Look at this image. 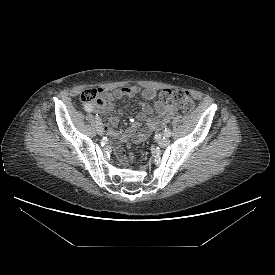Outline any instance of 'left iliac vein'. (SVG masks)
I'll use <instances>...</instances> for the list:
<instances>
[{
	"instance_id": "4c4485c4",
	"label": "left iliac vein",
	"mask_w": 275,
	"mask_h": 275,
	"mask_svg": "<svg viewBox=\"0 0 275 275\" xmlns=\"http://www.w3.org/2000/svg\"><path fill=\"white\" fill-rule=\"evenodd\" d=\"M170 143V140L168 138H160L158 140V144L161 146V147H167Z\"/></svg>"
}]
</instances>
